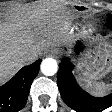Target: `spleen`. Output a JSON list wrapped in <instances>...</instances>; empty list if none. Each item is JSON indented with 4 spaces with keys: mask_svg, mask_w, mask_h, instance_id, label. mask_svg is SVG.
Returning <instances> with one entry per match:
<instances>
[{
    "mask_svg": "<svg viewBox=\"0 0 112 112\" xmlns=\"http://www.w3.org/2000/svg\"><path fill=\"white\" fill-rule=\"evenodd\" d=\"M110 86L104 83H96L92 86L93 93L95 95H103L107 90H109Z\"/></svg>",
    "mask_w": 112,
    "mask_h": 112,
    "instance_id": "spleen-1",
    "label": "spleen"
}]
</instances>
